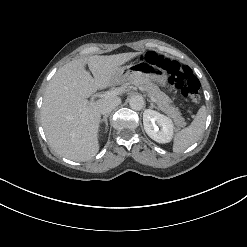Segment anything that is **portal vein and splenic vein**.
Instances as JSON below:
<instances>
[{
	"label": "portal vein and splenic vein",
	"instance_id": "portal-vein-and-splenic-vein-1",
	"mask_svg": "<svg viewBox=\"0 0 247 247\" xmlns=\"http://www.w3.org/2000/svg\"><path fill=\"white\" fill-rule=\"evenodd\" d=\"M123 89H124V88L120 87V88H116V89L111 90V91H107V92L103 93L100 97L103 98V99H108V98L115 97V96L121 94L122 91H123ZM149 97H150V99H151L154 103H157V101H156V99H155L154 97H152V96H150V95H149Z\"/></svg>",
	"mask_w": 247,
	"mask_h": 247
}]
</instances>
